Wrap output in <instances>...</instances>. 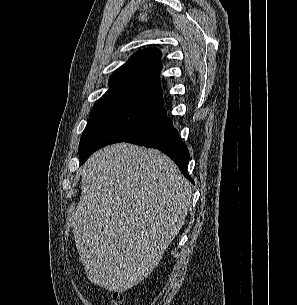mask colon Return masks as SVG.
<instances>
[{"instance_id":"5ec220e1","label":"colon","mask_w":297,"mask_h":305,"mask_svg":"<svg viewBox=\"0 0 297 305\" xmlns=\"http://www.w3.org/2000/svg\"><path fill=\"white\" fill-rule=\"evenodd\" d=\"M121 302L122 294L120 292L113 293L110 305H120Z\"/></svg>"}]
</instances>
